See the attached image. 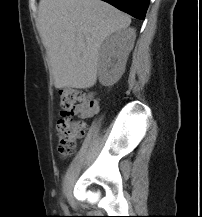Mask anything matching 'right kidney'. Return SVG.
<instances>
[{"label": "right kidney", "mask_w": 202, "mask_h": 217, "mask_svg": "<svg viewBox=\"0 0 202 217\" xmlns=\"http://www.w3.org/2000/svg\"><path fill=\"white\" fill-rule=\"evenodd\" d=\"M135 39L134 28L121 29L106 38L98 59V76L103 86H112L121 78Z\"/></svg>", "instance_id": "obj_1"}]
</instances>
